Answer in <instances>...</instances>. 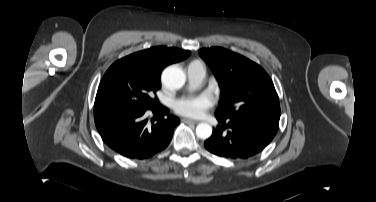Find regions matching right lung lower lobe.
<instances>
[{"instance_id":"obj_1","label":"right lung lower lobe","mask_w":376,"mask_h":202,"mask_svg":"<svg viewBox=\"0 0 376 202\" xmlns=\"http://www.w3.org/2000/svg\"><path fill=\"white\" fill-rule=\"evenodd\" d=\"M147 110L115 108L94 113L95 125L103 141L114 151L131 159L149 158L168 146L180 121L173 115L164 118L169 110L155 106L151 111L161 117L149 127Z\"/></svg>"}]
</instances>
